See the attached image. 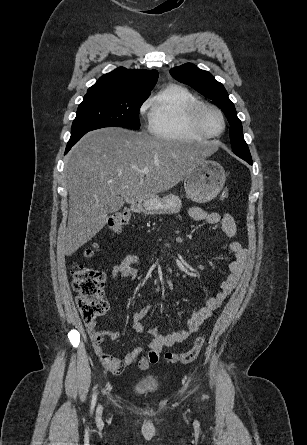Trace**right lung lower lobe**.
<instances>
[{"instance_id": "right-lung-lower-lobe-1", "label": "right lung lower lobe", "mask_w": 307, "mask_h": 445, "mask_svg": "<svg viewBox=\"0 0 307 445\" xmlns=\"http://www.w3.org/2000/svg\"><path fill=\"white\" fill-rule=\"evenodd\" d=\"M87 132H85V133H83V134H80V135H78V136H74V137H72L71 136V138H70V140H69V142H68V144H67V147H66V151H65V154L71 149V147L84 135V134H86Z\"/></svg>"}]
</instances>
